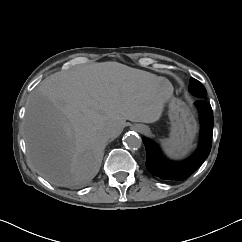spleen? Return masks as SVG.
<instances>
[{
  "instance_id": "1",
  "label": "spleen",
  "mask_w": 242,
  "mask_h": 242,
  "mask_svg": "<svg viewBox=\"0 0 242 242\" xmlns=\"http://www.w3.org/2000/svg\"><path fill=\"white\" fill-rule=\"evenodd\" d=\"M166 152H167L170 156H172V157H180V156H182V155H179V154L175 153L172 149H166Z\"/></svg>"
}]
</instances>
